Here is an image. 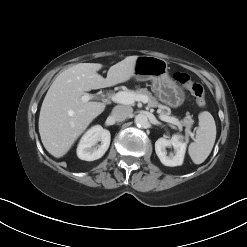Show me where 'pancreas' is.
<instances>
[{
  "mask_svg": "<svg viewBox=\"0 0 247 247\" xmlns=\"http://www.w3.org/2000/svg\"><path fill=\"white\" fill-rule=\"evenodd\" d=\"M128 92H131L135 95L146 96L148 99L147 101L148 107H158L159 108L158 111L161 115L170 117V113L165 110V107L163 105L158 103L156 98L152 96V94L147 90V88H141V89H137L136 91L132 90ZM181 123L186 127V133L190 134V128L194 123L192 117L188 114Z\"/></svg>",
  "mask_w": 247,
  "mask_h": 247,
  "instance_id": "1",
  "label": "pancreas"
}]
</instances>
